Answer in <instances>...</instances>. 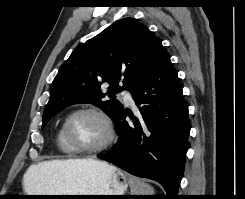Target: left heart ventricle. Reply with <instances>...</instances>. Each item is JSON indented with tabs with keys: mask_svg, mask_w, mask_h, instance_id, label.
I'll list each match as a JSON object with an SVG mask.
<instances>
[{
	"mask_svg": "<svg viewBox=\"0 0 245 199\" xmlns=\"http://www.w3.org/2000/svg\"><path fill=\"white\" fill-rule=\"evenodd\" d=\"M69 132L74 142L84 148L99 146L107 135L103 122L93 114L75 116L69 124Z\"/></svg>",
	"mask_w": 245,
	"mask_h": 199,
	"instance_id": "b2bd125f",
	"label": "left heart ventricle"
}]
</instances>
